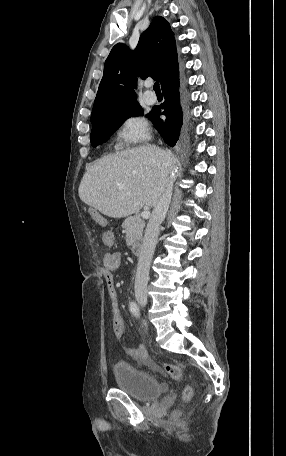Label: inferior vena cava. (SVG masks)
<instances>
[{"label": "inferior vena cava", "mask_w": 286, "mask_h": 456, "mask_svg": "<svg viewBox=\"0 0 286 456\" xmlns=\"http://www.w3.org/2000/svg\"><path fill=\"white\" fill-rule=\"evenodd\" d=\"M171 196L172 186L171 182L167 180L159 189L157 203L145 230L135 277V296H147L149 270L158 240L159 227L166 217Z\"/></svg>", "instance_id": "inferior-vena-cava-1"}]
</instances>
